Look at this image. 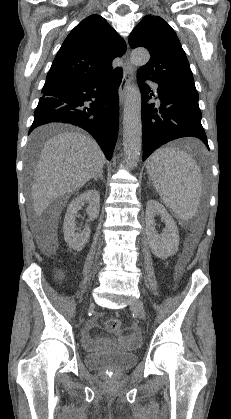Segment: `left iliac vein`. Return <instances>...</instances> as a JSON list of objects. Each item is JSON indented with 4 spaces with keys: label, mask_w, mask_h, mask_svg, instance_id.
Returning a JSON list of instances; mask_svg holds the SVG:
<instances>
[{
    "label": "left iliac vein",
    "mask_w": 231,
    "mask_h": 419,
    "mask_svg": "<svg viewBox=\"0 0 231 419\" xmlns=\"http://www.w3.org/2000/svg\"><path fill=\"white\" fill-rule=\"evenodd\" d=\"M130 308L141 318H146V311L144 308V303L141 299H137L130 304Z\"/></svg>",
    "instance_id": "1"
}]
</instances>
